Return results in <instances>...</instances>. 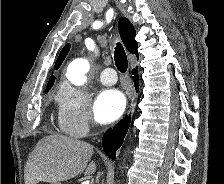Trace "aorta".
Instances as JSON below:
<instances>
[{
  "label": "aorta",
  "mask_w": 224,
  "mask_h": 184,
  "mask_svg": "<svg viewBox=\"0 0 224 184\" xmlns=\"http://www.w3.org/2000/svg\"><path fill=\"white\" fill-rule=\"evenodd\" d=\"M90 64L86 59H76L72 61L67 69V79L76 86H82L87 78L85 74L89 71Z\"/></svg>",
  "instance_id": "aorta-1"
}]
</instances>
